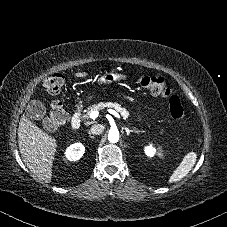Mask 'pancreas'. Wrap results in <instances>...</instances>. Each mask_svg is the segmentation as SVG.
Returning a JSON list of instances; mask_svg holds the SVG:
<instances>
[{
  "mask_svg": "<svg viewBox=\"0 0 227 227\" xmlns=\"http://www.w3.org/2000/svg\"><path fill=\"white\" fill-rule=\"evenodd\" d=\"M105 108L115 109L116 111H118L123 116L124 119H127L130 116L129 112L125 108L121 107V105H119L118 103H112V102L103 103V102H100L96 105H92L91 107H88L85 117H88L89 114L92 111L103 110Z\"/></svg>",
  "mask_w": 227,
  "mask_h": 227,
  "instance_id": "pancreas-1",
  "label": "pancreas"
}]
</instances>
